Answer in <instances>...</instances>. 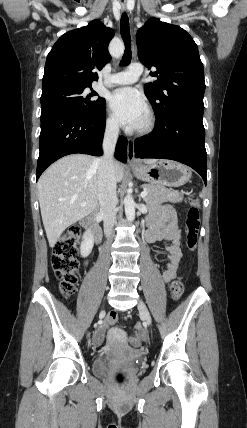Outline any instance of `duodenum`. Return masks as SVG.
Wrapping results in <instances>:
<instances>
[{"label":"duodenum","instance_id":"410a0bca","mask_svg":"<svg viewBox=\"0 0 247 428\" xmlns=\"http://www.w3.org/2000/svg\"><path fill=\"white\" fill-rule=\"evenodd\" d=\"M83 226L93 235L96 243L101 241V230L98 226L95 216L91 215L83 220Z\"/></svg>","mask_w":247,"mask_h":428}]
</instances>
